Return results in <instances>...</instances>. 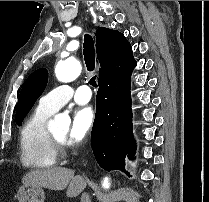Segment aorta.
Segmentation results:
<instances>
[{"label":"aorta","instance_id":"762f6f07","mask_svg":"<svg viewBox=\"0 0 209 202\" xmlns=\"http://www.w3.org/2000/svg\"><path fill=\"white\" fill-rule=\"evenodd\" d=\"M81 70V64L76 59H64L57 63L55 67V75L60 82H70L80 75ZM69 124V116L66 114H59L49 122V128L55 129L57 127H68ZM102 186L106 189L109 188L110 179L108 177L103 179Z\"/></svg>","mask_w":209,"mask_h":202}]
</instances>
